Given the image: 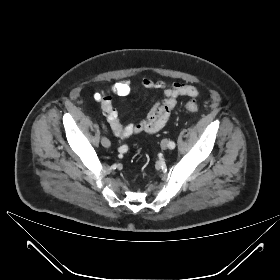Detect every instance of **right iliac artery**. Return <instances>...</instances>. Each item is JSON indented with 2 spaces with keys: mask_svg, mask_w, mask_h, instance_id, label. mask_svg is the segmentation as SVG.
<instances>
[{
  "mask_svg": "<svg viewBox=\"0 0 280 280\" xmlns=\"http://www.w3.org/2000/svg\"><path fill=\"white\" fill-rule=\"evenodd\" d=\"M103 128H105L104 124H103ZM119 150H120V151H124V150H125V146H121V147L119 148Z\"/></svg>",
  "mask_w": 280,
  "mask_h": 280,
  "instance_id": "obj_1",
  "label": "right iliac artery"
}]
</instances>
